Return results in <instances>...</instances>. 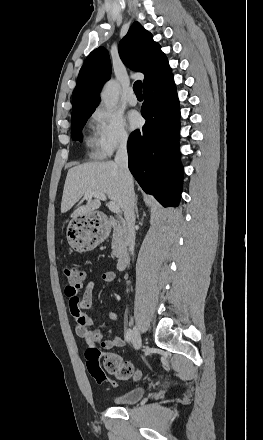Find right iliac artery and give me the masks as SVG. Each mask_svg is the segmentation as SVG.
Listing matches in <instances>:
<instances>
[{
	"instance_id": "82829eb1",
	"label": "right iliac artery",
	"mask_w": 263,
	"mask_h": 440,
	"mask_svg": "<svg viewBox=\"0 0 263 440\" xmlns=\"http://www.w3.org/2000/svg\"><path fill=\"white\" fill-rule=\"evenodd\" d=\"M131 339H132V330L129 328V329H127V331H126V334H125V340H126L127 342H130Z\"/></svg>"
}]
</instances>
